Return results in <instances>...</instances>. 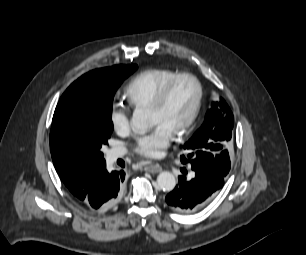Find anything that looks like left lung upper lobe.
I'll return each instance as SVG.
<instances>
[{
    "label": "left lung upper lobe",
    "mask_w": 306,
    "mask_h": 255,
    "mask_svg": "<svg viewBox=\"0 0 306 255\" xmlns=\"http://www.w3.org/2000/svg\"><path fill=\"white\" fill-rule=\"evenodd\" d=\"M233 125V114L224 99L212 102L204 124L185 143L184 149L188 155L181 156V162L204 164L226 177L230 170V160L227 150H223L220 143L231 139Z\"/></svg>",
    "instance_id": "left-lung-upper-lobe-1"
}]
</instances>
